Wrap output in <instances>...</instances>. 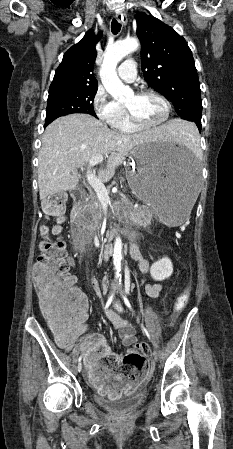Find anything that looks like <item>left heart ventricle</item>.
Masks as SVG:
<instances>
[{
	"mask_svg": "<svg viewBox=\"0 0 233 449\" xmlns=\"http://www.w3.org/2000/svg\"><path fill=\"white\" fill-rule=\"evenodd\" d=\"M124 105L128 106L134 114L145 123L158 122L164 115V104L151 95L136 96L130 95Z\"/></svg>",
	"mask_w": 233,
	"mask_h": 449,
	"instance_id": "left-heart-ventricle-1",
	"label": "left heart ventricle"
}]
</instances>
